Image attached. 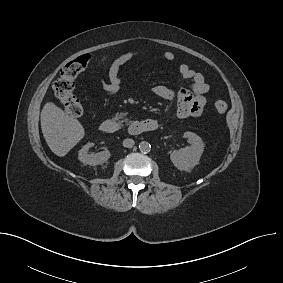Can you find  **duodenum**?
Masks as SVG:
<instances>
[{"label":"duodenum","instance_id":"duodenum-1","mask_svg":"<svg viewBox=\"0 0 283 283\" xmlns=\"http://www.w3.org/2000/svg\"><path fill=\"white\" fill-rule=\"evenodd\" d=\"M158 128V122L153 119L138 120L130 124L128 131L132 135H139L145 132H151ZM100 130L107 134H113L118 131V124L112 119L103 120L100 124Z\"/></svg>","mask_w":283,"mask_h":283}]
</instances>
